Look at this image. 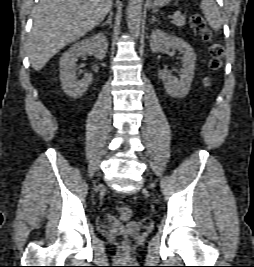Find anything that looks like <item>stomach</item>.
Masks as SVG:
<instances>
[{"label": "stomach", "mask_w": 254, "mask_h": 267, "mask_svg": "<svg viewBox=\"0 0 254 267\" xmlns=\"http://www.w3.org/2000/svg\"><path fill=\"white\" fill-rule=\"evenodd\" d=\"M172 0H152L151 6L163 7L168 5Z\"/></svg>", "instance_id": "1"}]
</instances>
